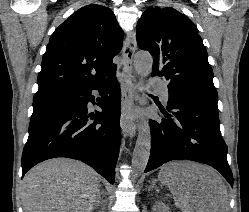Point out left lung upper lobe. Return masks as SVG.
Segmentation results:
<instances>
[{
  "mask_svg": "<svg viewBox=\"0 0 249 212\" xmlns=\"http://www.w3.org/2000/svg\"><path fill=\"white\" fill-rule=\"evenodd\" d=\"M136 31L138 46L154 57L152 74L164 76L168 88L218 99L206 48L187 16L171 7H150L139 19Z\"/></svg>",
  "mask_w": 249,
  "mask_h": 212,
  "instance_id": "5c2ea615",
  "label": "left lung upper lobe"
}]
</instances>
